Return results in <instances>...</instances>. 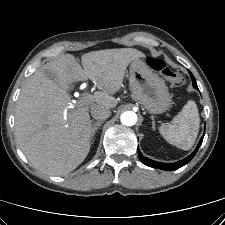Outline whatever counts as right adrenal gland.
Wrapping results in <instances>:
<instances>
[{
    "mask_svg": "<svg viewBox=\"0 0 225 225\" xmlns=\"http://www.w3.org/2000/svg\"><path fill=\"white\" fill-rule=\"evenodd\" d=\"M103 121H98L93 123L92 129H91V140L94 141V134L99 129V127L102 125Z\"/></svg>",
    "mask_w": 225,
    "mask_h": 225,
    "instance_id": "right-adrenal-gland-1",
    "label": "right adrenal gland"
}]
</instances>
